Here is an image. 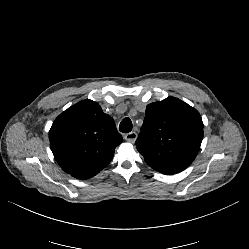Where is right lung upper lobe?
I'll return each instance as SVG.
<instances>
[{"instance_id": "obj_1", "label": "right lung upper lobe", "mask_w": 249, "mask_h": 249, "mask_svg": "<svg viewBox=\"0 0 249 249\" xmlns=\"http://www.w3.org/2000/svg\"><path fill=\"white\" fill-rule=\"evenodd\" d=\"M49 140L60 167L75 178L88 179L110 163L123 138L113 118L96 102L86 99L55 119Z\"/></svg>"}]
</instances>
